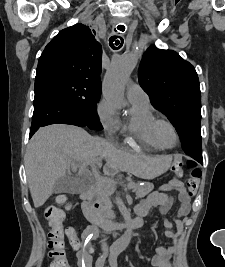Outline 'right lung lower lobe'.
Listing matches in <instances>:
<instances>
[{
    "label": "right lung lower lobe",
    "mask_w": 225,
    "mask_h": 267,
    "mask_svg": "<svg viewBox=\"0 0 225 267\" xmlns=\"http://www.w3.org/2000/svg\"><path fill=\"white\" fill-rule=\"evenodd\" d=\"M34 112L29 138L40 128L62 123L79 127L87 126L83 118L73 110L54 89L35 80Z\"/></svg>",
    "instance_id": "1"
}]
</instances>
